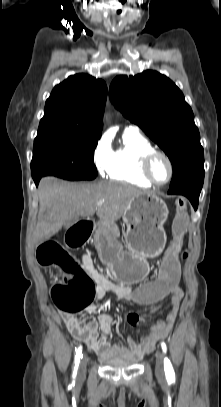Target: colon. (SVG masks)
<instances>
[{
    "label": "colon",
    "instance_id": "1",
    "mask_svg": "<svg viewBox=\"0 0 221 407\" xmlns=\"http://www.w3.org/2000/svg\"><path fill=\"white\" fill-rule=\"evenodd\" d=\"M186 207L184 198L176 201V215L172 224L173 239L159 263L157 277H148L147 283L133 285V298L137 306H157L160 300H166V292H175L176 286L181 284L182 261L179 255L188 225ZM93 229L92 216H79L73 225L67 227L65 248L79 249L80 246H85L86 239H93ZM65 248L56 241H47L38 248L37 261L44 267L55 265L62 269L65 281L52 286L51 298L62 313L74 315L90 304L95 294V284Z\"/></svg>",
    "mask_w": 221,
    "mask_h": 407
}]
</instances>
